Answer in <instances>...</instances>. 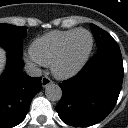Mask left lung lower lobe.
I'll use <instances>...</instances> for the list:
<instances>
[{"mask_svg": "<svg viewBox=\"0 0 128 128\" xmlns=\"http://www.w3.org/2000/svg\"><path fill=\"white\" fill-rule=\"evenodd\" d=\"M123 75L119 46L97 51L75 77L60 83L58 115L66 124L76 127L102 121L117 102Z\"/></svg>", "mask_w": 128, "mask_h": 128, "instance_id": "1", "label": "left lung lower lobe"}]
</instances>
